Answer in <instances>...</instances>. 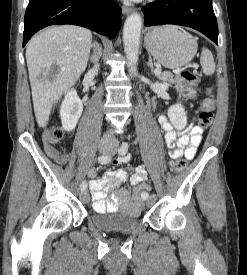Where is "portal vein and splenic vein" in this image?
Wrapping results in <instances>:
<instances>
[{"label": "portal vein and splenic vein", "instance_id": "1", "mask_svg": "<svg viewBox=\"0 0 247 275\" xmlns=\"http://www.w3.org/2000/svg\"><path fill=\"white\" fill-rule=\"evenodd\" d=\"M161 74V70L160 69H156L155 70V75L159 76Z\"/></svg>", "mask_w": 247, "mask_h": 275}]
</instances>
